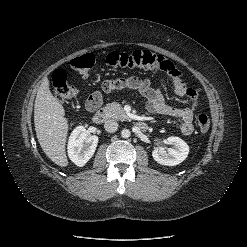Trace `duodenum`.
<instances>
[{
    "label": "duodenum",
    "mask_w": 247,
    "mask_h": 247,
    "mask_svg": "<svg viewBox=\"0 0 247 247\" xmlns=\"http://www.w3.org/2000/svg\"><path fill=\"white\" fill-rule=\"evenodd\" d=\"M106 112L103 109H99L97 110L94 114H93V122L96 124H101L106 120ZM137 126L139 129L141 130H146L148 128L147 124L143 121H139L137 123Z\"/></svg>",
    "instance_id": "obj_1"
}]
</instances>
